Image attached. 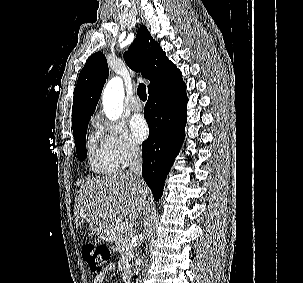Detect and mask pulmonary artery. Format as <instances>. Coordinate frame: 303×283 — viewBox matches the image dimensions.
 I'll list each match as a JSON object with an SVG mask.
<instances>
[{
    "instance_id": "obj_1",
    "label": "pulmonary artery",
    "mask_w": 303,
    "mask_h": 283,
    "mask_svg": "<svg viewBox=\"0 0 303 283\" xmlns=\"http://www.w3.org/2000/svg\"><path fill=\"white\" fill-rule=\"evenodd\" d=\"M130 107L133 111L138 112L143 108V104L138 97H135L130 102Z\"/></svg>"
}]
</instances>
